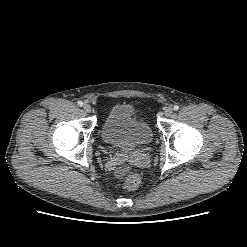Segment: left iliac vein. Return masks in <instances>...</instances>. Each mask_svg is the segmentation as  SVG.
<instances>
[{
	"label": "left iliac vein",
	"mask_w": 247,
	"mask_h": 247,
	"mask_svg": "<svg viewBox=\"0 0 247 247\" xmlns=\"http://www.w3.org/2000/svg\"><path fill=\"white\" fill-rule=\"evenodd\" d=\"M173 113V109L172 108H167L164 111V115L165 116H170Z\"/></svg>",
	"instance_id": "1"
}]
</instances>
